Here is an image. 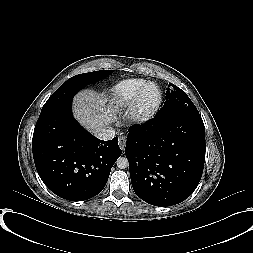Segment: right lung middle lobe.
<instances>
[{"instance_id":"obj_1","label":"right lung middle lobe","mask_w":253,"mask_h":253,"mask_svg":"<svg viewBox=\"0 0 253 253\" xmlns=\"http://www.w3.org/2000/svg\"><path fill=\"white\" fill-rule=\"evenodd\" d=\"M112 73L111 70H100L76 75L68 79L56 92L47 100L42 107L41 113L53 110L72 101L74 95L83 87L96 82Z\"/></svg>"}]
</instances>
